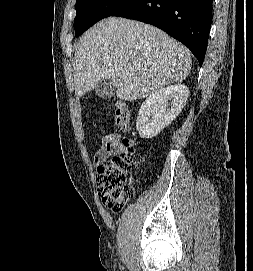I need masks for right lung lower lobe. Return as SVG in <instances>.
<instances>
[{
	"label": "right lung lower lobe",
	"mask_w": 253,
	"mask_h": 271,
	"mask_svg": "<svg viewBox=\"0 0 253 271\" xmlns=\"http://www.w3.org/2000/svg\"><path fill=\"white\" fill-rule=\"evenodd\" d=\"M213 0H128L112 16L154 25L182 42L201 66L212 22Z\"/></svg>",
	"instance_id": "right-lung-lower-lobe-1"
}]
</instances>
